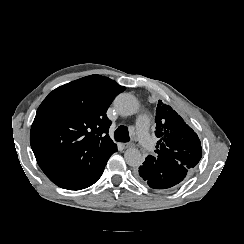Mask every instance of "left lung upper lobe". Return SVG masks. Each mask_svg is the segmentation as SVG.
Masks as SVG:
<instances>
[{
	"label": "left lung upper lobe",
	"instance_id": "5c2ea615",
	"mask_svg": "<svg viewBox=\"0 0 244 244\" xmlns=\"http://www.w3.org/2000/svg\"><path fill=\"white\" fill-rule=\"evenodd\" d=\"M157 157H168L187 169L194 168L202 156L197 134L169 105L158 101L156 109Z\"/></svg>",
	"mask_w": 244,
	"mask_h": 244
}]
</instances>
